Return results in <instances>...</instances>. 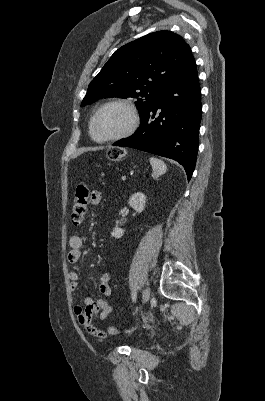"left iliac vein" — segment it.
Segmentation results:
<instances>
[{"mask_svg":"<svg viewBox=\"0 0 265 401\" xmlns=\"http://www.w3.org/2000/svg\"><path fill=\"white\" fill-rule=\"evenodd\" d=\"M150 294H151L150 289L146 287L142 293V298L144 303L148 302V300L150 299Z\"/></svg>","mask_w":265,"mask_h":401,"instance_id":"left-iliac-vein-1","label":"left iliac vein"}]
</instances>
